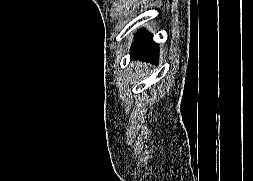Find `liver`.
<instances>
[{
	"instance_id": "1",
	"label": "liver",
	"mask_w": 253,
	"mask_h": 181,
	"mask_svg": "<svg viewBox=\"0 0 253 181\" xmlns=\"http://www.w3.org/2000/svg\"><path fill=\"white\" fill-rule=\"evenodd\" d=\"M140 65H141V64L138 63V64L136 65V68H139ZM131 66H133V63L131 64Z\"/></svg>"
}]
</instances>
